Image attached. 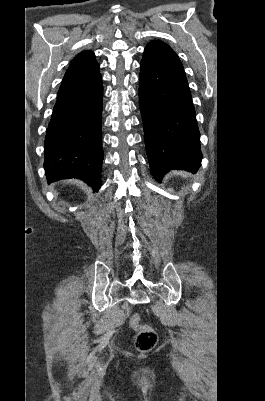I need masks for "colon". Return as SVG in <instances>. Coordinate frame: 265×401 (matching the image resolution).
Here are the masks:
<instances>
[{
    "instance_id": "5ec220e1",
    "label": "colon",
    "mask_w": 265,
    "mask_h": 401,
    "mask_svg": "<svg viewBox=\"0 0 265 401\" xmlns=\"http://www.w3.org/2000/svg\"><path fill=\"white\" fill-rule=\"evenodd\" d=\"M130 326L136 333L135 347L140 352H149L157 344V333L155 330L141 322L139 314H134L130 318Z\"/></svg>"
}]
</instances>
